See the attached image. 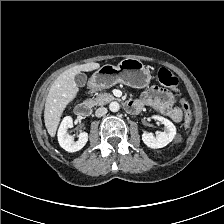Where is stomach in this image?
I'll return each mask as SVG.
<instances>
[{
	"instance_id": "obj_1",
	"label": "stomach",
	"mask_w": 224,
	"mask_h": 224,
	"mask_svg": "<svg viewBox=\"0 0 224 224\" xmlns=\"http://www.w3.org/2000/svg\"><path fill=\"white\" fill-rule=\"evenodd\" d=\"M149 69L138 59H123L117 66L110 64L100 67L90 78L89 86L101 90L123 83L133 88H144L149 85Z\"/></svg>"
}]
</instances>
